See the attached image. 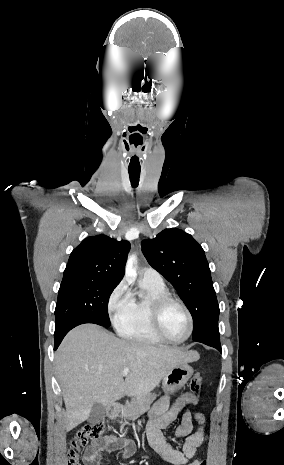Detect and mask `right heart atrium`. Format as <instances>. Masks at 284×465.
Masks as SVG:
<instances>
[{
  "label": "right heart atrium",
  "instance_id": "right-heart-atrium-1",
  "mask_svg": "<svg viewBox=\"0 0 284 465\" xmlns=\"http://www.w3.org/2000/svg\"><path fill=\"white\" fill-rule=\"evenodd\" d=\"M133 296L125 280H122L109 294L106 301L107 315L112 322L122 316L130 308Z\"/></svg>",
  "mask_w": 284,
  "mask_h": 465
}]
</instances>
